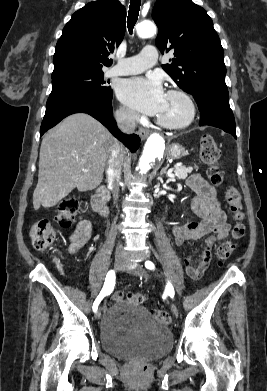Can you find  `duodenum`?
Listing matches in <instances>:
<instances>
[{"instance_id":"410a0bca","label":"duodenum","mask_w":267,"mask_h":391,"mask_svg":"<svg viewBox=\"0 0 267 391\" xmlns=\"http://www.w3.org/2000/svg\"><path fill=\"white\" fill-rule=\"evenodd\" d=\"M108 193L105 189H99L92 197L91 205L95 212L105 217L108 214Z\"/></svg>"}]
</instances>
